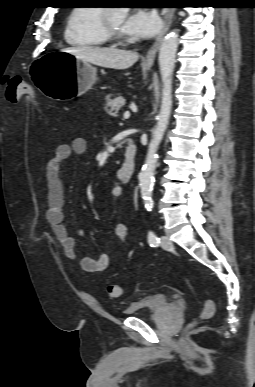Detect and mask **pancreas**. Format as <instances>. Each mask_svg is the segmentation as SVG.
Returning a JSON list of instances; mask_svg holds the SVG:
<instances>
[{
    "label": "pancreas",
    "instance_id": "obj_1",
    "mask_svg": "<svg viewBox=\"0 0 255 387\" xmlns=\"http://www.w3.org/2000/svg\"><path fill=\"white\" fill-rule=\"evenodd\" d=\"M106 102L107 106L109 107V111L114 116H116L126 104L125 99L121 95L114 99H110V97H107Z\"/></svg>",
    "mask_w": 255,
    "mask_h": 387
}]
</instances>
